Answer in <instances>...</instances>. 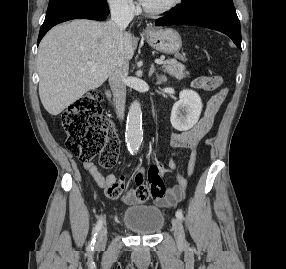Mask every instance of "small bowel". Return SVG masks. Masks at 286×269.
<instances>
[{
	"mask_svg": "<svg viewBox=\"0 0 286 269\" xmlns=\"http://www.w3.org/2000/svg\"><path fill=\"white\" fill-rule=\"evenodd\" d=\"M199 78H216L213 76H202ZM219 110H205L201 119L197 124L191 129L180 132L173 133L170 140V145L173 148V152L168 160V168L170 170H177V184L170 188L166 195L162 197L154 198V202L161 207L173 208L181 200L188 184L187 178L178 170L175 157L180 153L187 152V174L192 176L195 170L197 161V146L201 139L210 131L214 119ZM83 168L87 170L93 177L96 184L107 190L116 181V176L114 174L103 175L97 166L89 161L83 162ZM137 172L143 174L144 169L141 166L137 167ZM121 199L128 203L137 202L138 199L135 197V192L133 190H126L122 195Z\"/></svg>",
	"mask_w": 286,
	"mask_h": 269,
	"instance_id": "1",
	"label": "small bowel"
}]
</instances>
